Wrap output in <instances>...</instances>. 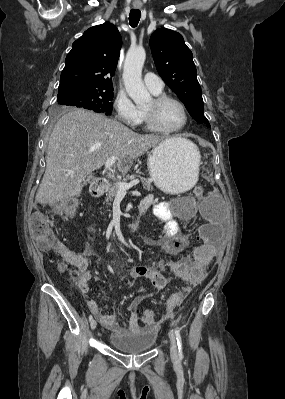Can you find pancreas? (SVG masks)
I'll return each instance as SVG.
<instances>
[{
	"instance_id": "1",
	"label": "pancreas",
	"mask_w": 285,
	"mask_h": 399,
	"mask_svg": "<svg viewBox=\"0 0 285 399\" xmlns=\"http://www.w3.org/2000/svg\"><path fill=\"white\" fill-rule=\"evenodd\" d=\"M133 177L134 175L132 176L127 175L126 177L123 178V182H127V180L132 179ZM141 179L144 189L152 191L153 190V186L151 185L152 180L149 178H141ZM105 192H106L105 203L109 204V202L112 201L114 197L117 195L118 187L116 184L107 185Z\"/></svg>"
}]
</instances>
